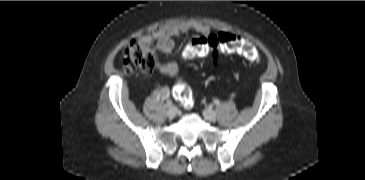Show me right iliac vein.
I'll return each instance as SVG.
<instances>
[{"label":"right iliac vein","instance_id":"1","mask_svg":"<svg viewBox=\"0 0 365 180\" xmlns=\"http://www.w3.org/2000/svg\"><path fill=\"white\" fill-rule=\"evenodd\" d=\"M177 114V108L176 107H170L167 111V115L170 119H173Z\"/></svg>","mask_w":365,"mask_h":180}]
</instances>
